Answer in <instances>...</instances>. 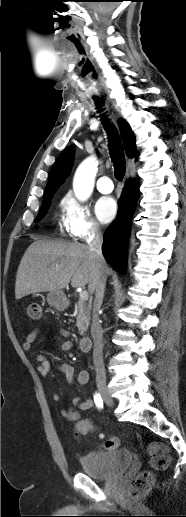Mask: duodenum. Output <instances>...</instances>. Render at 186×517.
<instances>
[{
	"label": "duodenum",
	"instance_id": "obj_1",
	"mask_svg": "<svg viewBox=\"0 0 186 517\" xmlns=\"http://www.w3.org/2000/svg\"><path fill=\"white\" fill-rule=\"evenodd\" d=\"M80 350L83 352H89L92 348V339L90 336H83L79 340Z\"/></svg>",
	"mask_w": 186,
	"mask_h": 517
}]
</instances>
